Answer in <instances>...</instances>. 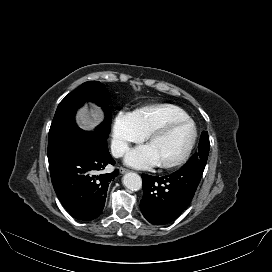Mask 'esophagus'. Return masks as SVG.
Wrapping results in <instances>:
<instances>
[{"instance_id": "esophagus-1", "label": "esophagus", "mask_w": 272, "mask_h": 272, "mask_svg": "<svg viewBox=\"0 0 272 272\" xmlns=\"http://www.w3.org/2000/svg\"><path fill=\"white\" fill-rule=\"evenodd\" d=\"M119 171H120L121 174H124V173L129 172V170L126 169V168H124V167H120V168H119Z\"/></svg>"}]
</instances>
